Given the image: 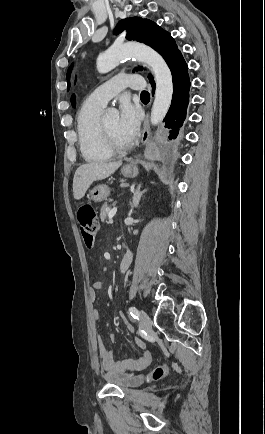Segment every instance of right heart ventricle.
Instances as JSON below:
<instances>
[{
	"instance_id": "right-heart-ventricle-1",
	"label": "right heart ventricle",
	"mask_w": 265,
	"mask_h": 434,
	"mask_svg": "<svg viewBox=\"0 0 265 434\" xmlns=\"http://www.w3.org/2000/svg\"><path fill=\"white\" fill-rule=\"evenodd\" d=\"M103 105L83 100L76 113L80 152L89 164H102L112 159L101 120Z\"/></svg>"
}]
</instances>
